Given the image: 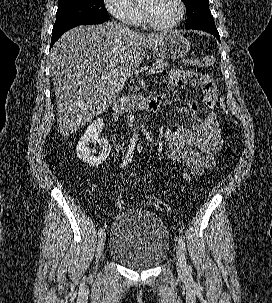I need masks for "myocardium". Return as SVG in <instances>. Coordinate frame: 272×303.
<instances>
[{
    "mask_svg": "<svg viewBox=\"0 0 272 303\" xmlns=\"http://www.w3.org/2000/svg\"><path fill=\"white\" fill-rule=\"evenodd\" d=\"M177 3L179 5V14L177 16V18L169 23V24H166V25H159V24H156L154 23L153 21H151V19L148 17L147 15V12L146 10L144 9V7H142L140 4H139V11H140V16H141V20H142V23L152 29V30H157V31H165V30H170V29H173L174 27H176L181 21L182 19L184 18V15H185V3L183 0H177Z\"/></svg>",
    "mask_w": 272,
    "mask_h": 303,
    "instance_id": "f54148a6",
    "label": "myocardium"
}]
</instances>
